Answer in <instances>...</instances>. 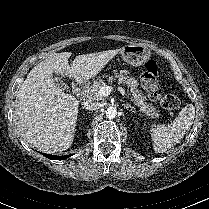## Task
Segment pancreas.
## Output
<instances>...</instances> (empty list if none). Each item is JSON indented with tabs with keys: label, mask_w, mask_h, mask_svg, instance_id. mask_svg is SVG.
Here are the masks:
<instances>
[{
	"label": "pancreas",
	"mask_w": 209,
	"mask_h": 209,
	"mask_svg": "<svg viewBox=\"0 0 209 209\" xmlns=\"http://www.w3.org/2000/svg\"><path fill=\"white\" fill-rule=\"evenodd\" d=\"M113 73L120 83L127 85L131 93L132 101L143 113L152 118L159 117L155 107L146 102V97L143 96L142 92L138 89L137 80L133 76H130L127 70H121L120 72L114 71ZM108 80L112 81L113 77H108ZM104 85V80L94 81L93 85L85 90V97L89 101L100 100L101 97L98 96V92Z\"/></svg>",
	"instance_id": "obj_1"
}]
</instances>
